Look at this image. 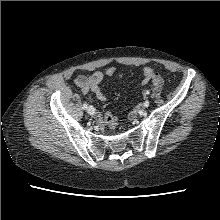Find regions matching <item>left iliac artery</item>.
I'll return each instance as SVG.
<instances>
[{
    "mask_svg": "<svg viewBox=\"0 0 220 220\" xmlns=\"http://www.w3.org/2000/svg\"><path fill=\"white\" fill-rule=\"evenodd\" d=\"M149 93H150L149 90H146V91H145V94H149ZM144 105H145V106H149V101H145V102H144Z\"/></svg>",
    "mask_w": 220,
    "mask_h": 220,
    "instance_id": "44dca946",
    "label": "left iliac artery"
}]
</instances>
